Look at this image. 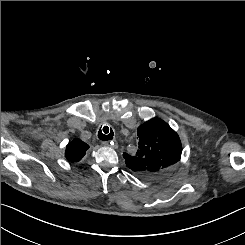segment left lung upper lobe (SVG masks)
<instances>
[{
  "label": "left lung upper lobe",
  "mask_w": 245,
  "mask_h": 245,
  "mask_svg": "<svg viewBox=\"0 0 245 245\" xmlns=\"http://www.w3.org/2000/svg\"><path fill=\"white\" fill-rule=\"evenodd\" d=\"M139 148L136 155L123 154L127 167L143 179H158L171 171L181 158L178 134L159 118L138 127Z\"/></svg>",
  "instance_id": "1"
}]
</instances>
